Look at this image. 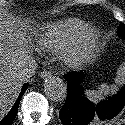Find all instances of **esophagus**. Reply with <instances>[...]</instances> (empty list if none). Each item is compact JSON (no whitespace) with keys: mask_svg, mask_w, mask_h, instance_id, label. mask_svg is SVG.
I'll return each instance as SVG.
<instances>
[{"mask_svg":"<svg viewBox=\"0 0 125 125\" xmlns=\"http://www.w3.org/2000/svg\"><path fill=\"white\" fill-rule=\"evenodd\" d=\"M40 77L41 78H49L51 77V72L47 71V70H44L40 73Z\"/></svg>","mask_w":125,"mask_h":125,"instance_id":"1","label":"esophagus"}]
</instances>
